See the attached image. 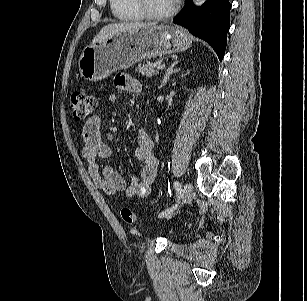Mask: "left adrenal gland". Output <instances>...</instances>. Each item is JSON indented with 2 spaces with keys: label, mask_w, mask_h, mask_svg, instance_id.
Listing matches in <instances>:
<instances>
[{
  "label": "left adrenal gland",
  "mask_w": 307,
  "mask_h": 301,
  "mask_svg": "<svg viewBox=\"0 0 307 301\" xmlns=\"http://www.w3.org/2000/svg\"><path fill=\"white\" fill-rule=\"evenodd\" d=\"M179 61H175L173 62L170 67H168V69L166 70L165 72V75H164V79L162 81V84L160 87H163L164 85H166V83L168 82L170 76L176 72H178L180 69H175L174 67L178 64Z\"/></svg>",
  "instance_id": "left-adrenal-gland-1"
}]
</instances>
